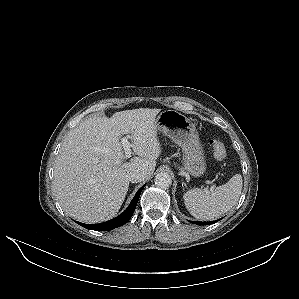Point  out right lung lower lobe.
Instances as JSON below:
<instances>
[{
	"mask_svg": "<svg viewBox=\"0 0 299 299\" xmlns=\"http://www.w3.org/2000/svg\"><path fill=\"white\" fill-rule=\"evenodd\" d=\"M144 187L145 185H143L137 191L136 195L134 196L133 200L131 201L127 209L121 215L115 217L114 219L99 224H84L80 222L77 223L86 229L95 230V231H108L124 225L133 215L138 199Z\"/></svg>",
	"mask_w": 299,
	"mask_h": 299,
	"instance_id": "right-lung-lower-lobe-1",
	"label": "right lung lower lobe"
}]
</instances>
